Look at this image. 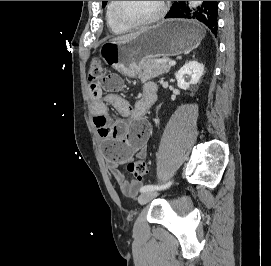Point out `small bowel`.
<instances>
[{
	"instance_id": "1",
	"label": "small bowel",
	"mask_w": 271,
	"mask_h": 266,
	"mask_svg": "<svg viewBox=\"0 0 271 266\" xmlns=\"http://www.w3.org/2000/svg\"><path fill=\"white\" fill-rule=\"evenodd\" d=\"M122 81L116 74L104 77L99 83L89 86L92 100L91 112L94 125L103 141L108 169L124 195H133L140 187L137 180L128 181L119 166L134 156L143 158L150 133V126L144 119L149 108L156 100L153 83H146L142 97L131 105L118 92ZM157 90V89H156ZM103 91H107L106 95ZM111 105L122 119L111 122L107 106Z\"/></svg>"
}]
</instances>
